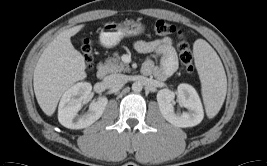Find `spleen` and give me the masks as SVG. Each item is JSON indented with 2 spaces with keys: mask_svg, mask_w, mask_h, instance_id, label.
<instances>
[{
  "mask_svg": "<svg viewBox=\"0 0 267 166\" xmlns=\"http://www.w3.org/2000/svg\"><path fill=\"white\" fill-rule=\"evenodd\" d=\"M194 57L206 114L213 118L220 111L226 97V74L220 58L204 40L195 42Z\"/></svg>",
  "mask_w": 267,
  "mask_h": 166,
  "instance_id": "3e777b00",
  "label": "spleen"
}]
</instances>
